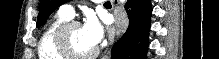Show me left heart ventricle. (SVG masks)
Returning a JSON list of instances; mask_svg holds the SVG:
<instances>
[{"label": "left heart ventricle", "mask_w": 219, "mask_h": 59, "mask_svg": "<svg viewBox=\"0 0 219 59\" xmlns=\"http://www.w3.org/2000/svg\"><path fill=\"white\" fill-rule=\"evenodd\" d=\"M69 40L71 48L79 54L89 53L95 48L84 37L81 26H73L70 29Z\"/></svg>", "instance_id": "1"}]
</instances>
